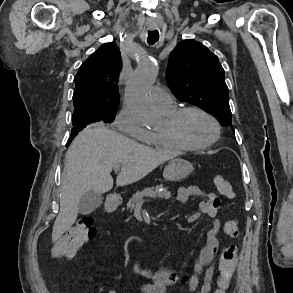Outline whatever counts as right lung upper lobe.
<instances>
[{
	"label": "right lung upper lobe",
	"instance_id": "obj_1",
	"mask_svg": "<svg viewBox=\"0 0 293 293\" xmlns=\"http://www.w3.org/2000/svg\"><path fill=\"white\" fill-rule=\"evenodd\" d=\"M121 69L119 48L114 43L103 44L79 68L74 79V107L95 111L116 110Z\"/></svg>",
	"mask_w": 293,
	"mask_h": 293
}]
</instances>
